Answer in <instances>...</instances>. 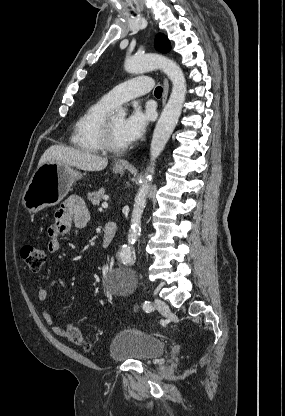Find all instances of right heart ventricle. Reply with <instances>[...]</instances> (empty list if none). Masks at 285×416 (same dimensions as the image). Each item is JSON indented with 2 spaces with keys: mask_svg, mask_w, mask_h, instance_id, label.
<instances>
[{
  "mask_svg": "<svg viewBox=\"0 0 285 416\" xmlns=\"http://www.w3.org/2000/svg\"><path fill=\"white\" fill-rule=\"evenodd\" d=\"M110 106L101 98L89 104L77 118L70 136L71 145L85 154L103 151L98 130Z\"/></svg>",
  "mask_w": 285,
  "mask_h": 416,
  "instance_id": "e07e8e85",
  "label": "right heart ventricle"
}]
</instances>
